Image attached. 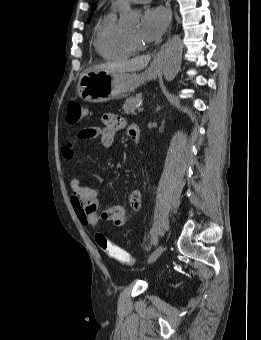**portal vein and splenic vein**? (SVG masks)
<instances>
[{"label": "portal vein and splenic vein", "instance_id": "1", "mask_svg": "<svg viewBox=\"0 0 261 340\" xmlns=\"http://www.w3.org/2000/svg\"><path fill=\"white\" fill-rule=\"evenodd\" d=\"M137 108L138 112H142L144 110V108L140 104L137 105Z\"/></svg>", "mask_w": 261, "mask_h": 340}]
</instances>
